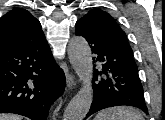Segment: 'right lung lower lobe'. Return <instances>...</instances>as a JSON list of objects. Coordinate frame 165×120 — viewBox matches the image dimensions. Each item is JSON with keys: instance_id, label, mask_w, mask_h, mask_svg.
<instances>
[{"instance_id": "obj_1", "label": "right lung lower lobe", "mask_w": 165, "mask_h": 120, "mask_svg": "<svg viewBox=\"0 0 165 120\" xmlns=\"http://www.w3.org/2000/svg\"><path fill=\"white\" fill-rule=\"evenodd\" d=\"M65 88V75L42 38L0 52V113L46 120Z\"/></svg>"}]
</instances>
